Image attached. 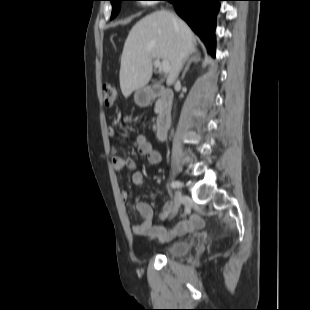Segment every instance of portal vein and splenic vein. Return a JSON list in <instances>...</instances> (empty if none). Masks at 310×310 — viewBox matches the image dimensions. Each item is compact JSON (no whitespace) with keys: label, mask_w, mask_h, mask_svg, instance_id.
<instances>
[{"label":"portal vein and splenic vein","mask_w":310,"mask_h":310,"mask_svg":"<svg viewBox=\"0 0 310 310\" xmlns=\"http://www.w3.org/2000/svg\"><path fill=\"white\" fill-rule=\"evenodd\" d=\"M154 65H155L156 68L160 69L165 74L168 73L169 70H170V65L166 61L160 62L159 59H156L154 61Z\"/></svg>","instance_id":"1"}]
</instances>
